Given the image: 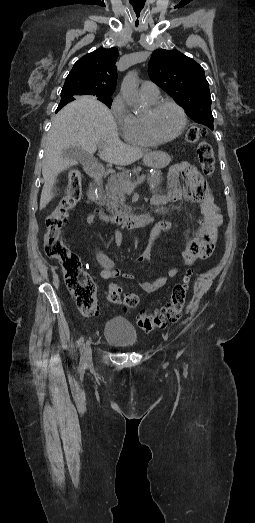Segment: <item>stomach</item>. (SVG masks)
<instances>
[{
    "label": "stomach",
    "instance_id": "1",
    "mask_svg": "<svg viewBox=\"0 0 255 523\" xmlns=\"http://www.w3.org/2000/svg\"><path fill=\"white\" fill-rule=\"evenodd\" d=\"M172 159V154L170 151H160L158 154H147L144 158V164L148 168H153V170H160V168H165L163 162H170Z\"/></svg>",
    "mask_w": 255,
    "mask_h": 523
}]
</instances>
